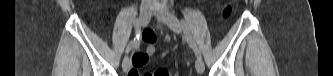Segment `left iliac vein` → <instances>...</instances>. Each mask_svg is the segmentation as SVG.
Instances as JSON below:
<instances>
[{"label":"left iliac vein","mask_w":333,"mask_h":76,"mask_svg":"<svg viewBox=\"0 0 333 76\" xmlns=\"http://www.w3.org/2000/svg\"><path fill=\"white\" fill-rule=\"evenodd\" d=\"M154 15L158 20L167 24L173 32L177 34L181 33L182 26L178 18L173 13L167 10H160V11H155ZM195 67L199 74H203L205 67L202 59L197 58L195 62Z\"/></svg>","instance_id":"1"}]
</instances>
